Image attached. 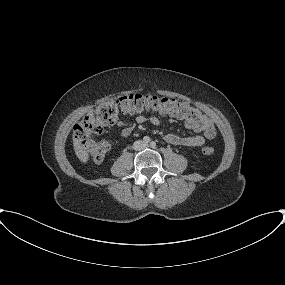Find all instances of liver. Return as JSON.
<instances>
[{
    "label": "liver",
    "instance_id": "obj_1",
    "mask_svg": "<svg viewBox=\"0 0 285 285\" xmlns=\"http://www.w3.org/2000/svg\"><path fill=\"white\" fill-rule=\"evenodd\" d=\"M73 146L75 154L78 157V159L81 162L86 163L89 160V154L86 148L83 145H81L80 140L73 138Z\"/></svg>",
    "mask_w": 285,
    "mask_h": 285
}]
</instances>
